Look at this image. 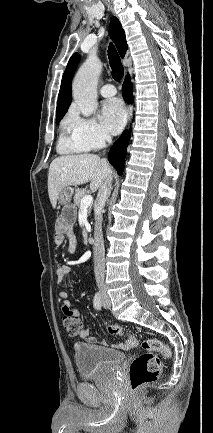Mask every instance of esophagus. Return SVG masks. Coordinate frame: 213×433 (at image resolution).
<instances>
[{
    "label": "esophagus",
    "mask_w": 213,
    "mask_h": 433,
    "mask_svg": "<svg viewBox=\"0 0 213 433\" xmlns=\"http://www.w3.org/2000/svg\"><path fill=\"white\" fill-rule=\"evenodd\" d=\"M131 113H132V110H131V107H129V117H131Z\"/></svg>",
    "instance_id": "esophagus-1"
}]
</instances>
